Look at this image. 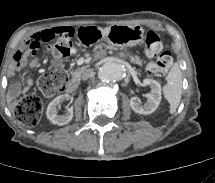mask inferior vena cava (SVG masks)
Returning <instances> with one entry per match:
<instances>
[{"mask_svg":"<svg viewBox=\"0 0 215 183\" xmlns=\"http://www.w3.org/2000/svg\"><path fill=\"white\" fill-rule=\"evenodd\" d=\"M93 76H94V71L92 69H87L82 73L81 78L83 80H87Z\"/></svg>","mask_w":215,"mask_h":183,"instance_id":"1","label":"inferior vena cava"}]
</instances>
